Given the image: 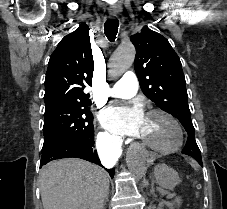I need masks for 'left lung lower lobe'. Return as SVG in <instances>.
<instances>
[{
    "instance_id": "0a47b994",
    "label": "left lung lower lobe",
    "mask_w": 227,
    "mask_h": 209,
    "mask_svg": "<svg viewBox=\"0 0 227 209\" xmlns=\"http://www.w3.org/2000/svg\"><path fill=\"white\" fill-rule=\"evenodd\" d=\"M196 159L200 164H202V159L194 158Z\"/></svg>"
}]
</instances>
